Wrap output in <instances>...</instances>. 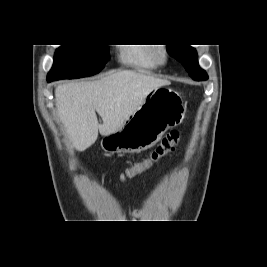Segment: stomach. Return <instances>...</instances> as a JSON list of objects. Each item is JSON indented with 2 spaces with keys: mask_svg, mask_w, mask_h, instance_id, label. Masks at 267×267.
I'll list each match as a JSON object with an SVG mask.
<instances>
[{
  "mask_svg": "<svg viewBox=\"0 0 267 267\" xmlns=\"http://www.w3.org/2000/svg\"><path fill=\"white\" fill-rule=\"evenodd\" d=\"M184 106L177 93L157 88L115 133L105 135L102 148L111 154L136 153L154 146L164 133L181 123Z\"/></svg>",
  "mask_w": 267,
  "mask_h": 267,
  "instance_id": "stomach-1",
  "label": "stomach"
}]
</instances>
